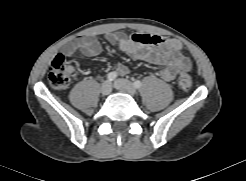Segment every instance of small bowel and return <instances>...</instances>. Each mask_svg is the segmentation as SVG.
Listing matches in <instances>:
<instances>
[{"mask_svg":"<svg viewBox=\"0 0 246 181\" xmlns=\"http://www.w3.org/2000/svg\"><path fill=\"white\" fill-rule=\"evenodd\" d=\"M142 36L147 34L126 36L122 33H111L106 39L109 43L118 45L122 52L135 59L162 66L160 76L165 81L174 80L181 70L190 68V61L182 54V43L178 39L157 36L159 42L149 44L141 42ZM75 50L85 57H95L101 53L102 46L96 38L88 36L75 40L65 53L70 57ZM115 71L116 74L125 75L129 69L126 65L119 63Z\"/></svg>","mask_w":246,"mask_h":181,"instance_id":"obj_1","label":"small bowel"}]
</instances>
